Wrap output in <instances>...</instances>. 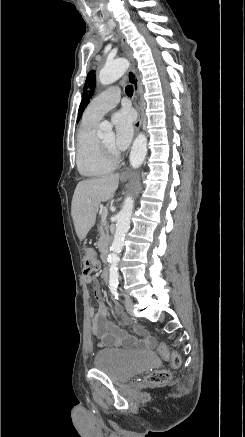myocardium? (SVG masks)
<instances>
[{"mask_svg": "<svg viewBox=\"0 0 245 437\" xmlns=\"http://www.w3.org/2000/svg\"><path fill=\"white\" fill-rule=\"evenodd\" d=\"M97 143L104 157L112 161L118 159V154L114 150L109 149L100 139H97Z\"/></svg>", "mask_w": 245, "mask_h": 437, "instance_id": "obj_1", "label": "myocardium"}]
</instances>
